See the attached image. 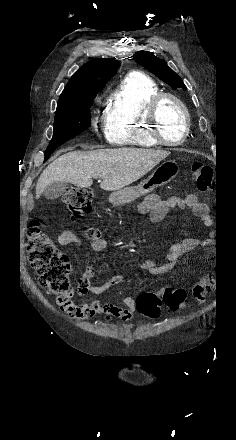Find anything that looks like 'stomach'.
I'll use <instances>...</instances> for the list:
<instances>
[{
	"label": "stomach",
	"mask_w": 236,
	"mask_h": 440,
	"mask_svg": "<svg viewBox=\"0 0 236 440\" xmlns=\"http://www.w3.org/2000/svg\"><path fill=\"white\" fill-rule=\"evenodd\" d=\"M179 172L178 164L173 160H167L160 164L153 173L135 187L123 188L110 195V201L114 206L125 205L141 196L151 193L155 188L163 186L173 180Z\"/></svg>",
	"instance_id": "stomach-1"
}]
</instances>
